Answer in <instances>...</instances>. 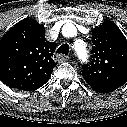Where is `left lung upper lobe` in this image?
I'll use <instances>...</instances> for the list:
<instances>
[{
	"mask_svg": "<svg viewBox=\"0 0 127 127\" xmlns=\"http://www.w3.org/2000/svg\"><path fill=\"white\" fill-rule=\"evenodd\" d=\"M91 62L83 67L87 83L119 88L127 82V40L117 25L105 20L92 30Z\"/></svg>",
	"mask_w": 127,
	"mask_h": 127,
	"instance_id": "5c2ea615",
	"label": "left lung upper lobe"
}]
</instances>
